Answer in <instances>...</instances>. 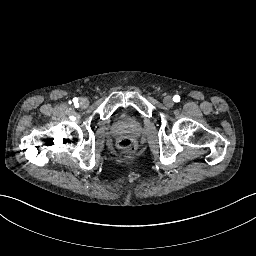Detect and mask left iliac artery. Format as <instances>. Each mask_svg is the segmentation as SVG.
Segmentation results:
<instances>
[{
  "mask_svg": "<svg viewBox=\"0 0 256 256\" xmlns=\"http://www.w3.org/2000/svg\"><path fill=\"white\" fill-rule=\"evenodd\" d=\"M173 101H174V102H179V101H180V96H179V95H175V96L173 97Z\"/></svg>",
  "mask_w": 256,
  "mask_h": 256,
  "instance_id": "obj_1",
  "label": "left iliac artery"
}]
</instances>
